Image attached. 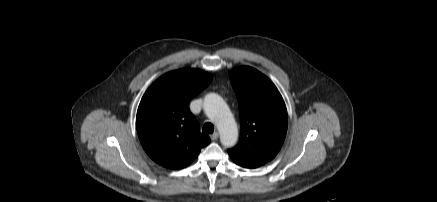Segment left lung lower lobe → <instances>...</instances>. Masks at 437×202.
<instances>
[{
	"mask_svg": "<svg viewBox=\"0 0 437 202\" xmlns=\"http://www.w3.org/2000/svg\"><path fill=\"white\" fill-rule=\"evenodd\" d=\"M233 161H234V160H233ZM234 162H235L236 164L242 166V167L248 168V167H246L245 165H242L241 163H238L237 161H234Z\"/></svg>",
	"mask_w": 437,
	"mask_h": 202,
	"instance_id": "0a47b994",
	"label": "left lung lower lobe"
}]
</instances>
